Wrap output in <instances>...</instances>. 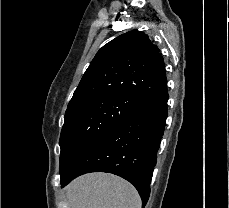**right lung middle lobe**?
Here are the masks:
<instances>
[{"mask_svg": "<svg viewBox=\"0 0 229 208\" xmlns=\"http://www.w3.org/2000/svg\"><path fill=\"white\" fill-rule=\"evenodd\" d=\"M141 106V102L127 96L105 95L67 110L60 136V175L68 172L93 141Z\"/></svg>", "mask_w": 229, "mask_h": 208, "instance_id": "1", "label": "right lung middle lobe"}]
</instances>
